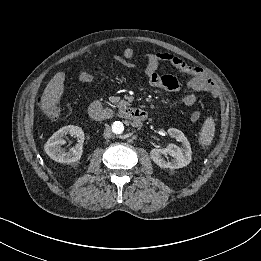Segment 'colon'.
<instances>
[{
    "mask_svg": "<svg viewBox=\"0 0 261 261\" xmlns=\"http://www.w3.org/2000/svg\"><path fill=\"white\" fill-rule=\"evenodd\" d=\"M180 70L184 73L190 74L189 86L193 91H205L212 85V79L205 69L201 67L190 66L185 63L181 65ZM42 108L48 117L56 118L58 116V110L52 105H44L41 102ZM200 117L199 112H195L192 115L193 120H197Z\"/></svg>",
    "mask_w": 261,
    "mask_h": 261,
    "instance_id": "obj_1",
    "label": "colon"
}]
</instances>
